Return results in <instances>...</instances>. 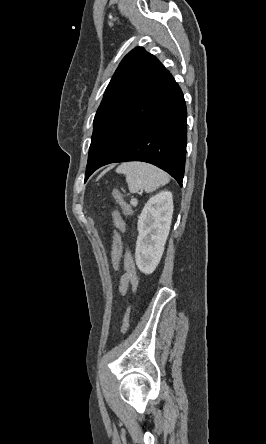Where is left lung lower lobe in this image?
<instances>
[{
	"mask_svg": "<svg viewBox=\"0 0 266 444\" xmlns=\"http://www.w3.org/2000/svg\"><path fill=\"white\" fill-rule=\"evenodd\" d=\"M187 110L170 74L144 95L112 115L91 139L85 181L113 162L143 161L168 172L182 186Z\"/></svg>",
	"mask_w": 266,
	"mask_h": 444,
	"instance_id": "1",
	"label": "left lung lower lobe"
}]
</instances>
